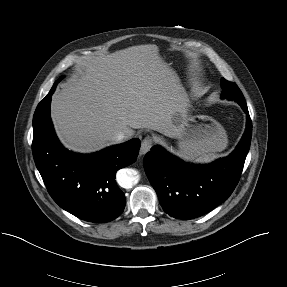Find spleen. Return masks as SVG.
Here are the masks:
<instances>
[{"label": "spleen", "instance_id": "3e777b00", "mask_svg": "<svg viewBox=\"0 0 287 287\" xmlns=\"http://www.w3.org/2000/svg\"><path fill=\"white\" fill-rule=\"evenodd\" d=\"M217 157H218V155H216V154H209V155H206L204 157L199 158L198 162H210Z\"/></svg>", "mask_w": 287, "mask_h": 287}]
</instances>
